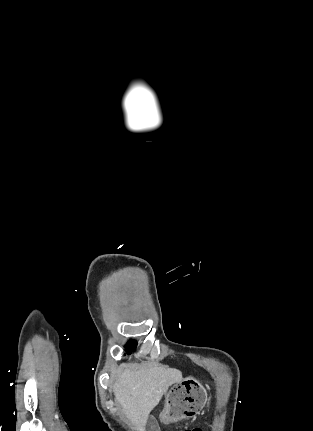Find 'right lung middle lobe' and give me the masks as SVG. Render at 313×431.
Wrapping results in <instances>:
<instances>
[{"label":"right lung middle lobe","instance_id":"obj_1","mask_svg":"<svg viewBox=\"0 0 313 431\" xmlns=\"http://www.w3.org/2000/svg\"><path fill=\"white\" fill-rule=\"evenodd\" d=\"M137 346V343L134 340H131L127 343V345L125 346L127 351H134L135 348Z\"/></svg>","mask_w":313,"mask_h":431}]
</instances>
